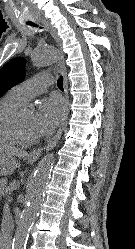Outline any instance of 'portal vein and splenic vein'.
<instances>
[{
  "label": "portal vein and splenic vein",
  "mask_w": 135,
  "mask_h": 249,
  "mask_svg": "<svg viewBox=\"0 0 135 249\" xmlns=\"http://www.w3.org/2000/svg\"><path fill=\"white\" fill-rule=\"evenodd\" d=\"M13 200L12 196L9 197V201L11 202Z\"/></svg>",
  "instance_id": "18ae733b"
}]
</instances>
